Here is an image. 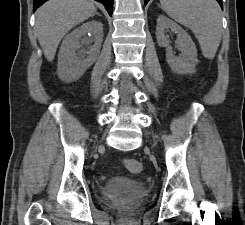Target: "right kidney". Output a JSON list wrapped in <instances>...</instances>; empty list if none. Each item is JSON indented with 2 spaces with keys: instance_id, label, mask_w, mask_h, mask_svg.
<instances>
[{
  "instance_id": "right-kidney-1",
  "label": "right kidney",
  "mask_w": 245,
  "mask_h": 225,
  "mask_svg": "<svg viewBox=\"0 0 245 225\" xmlns=\"http://www.w3.org/2000/svg\"><path fill=\"white\" fill-rule=\"evenodd\" d=\"M102 41L103 25L95 20L82 24L68 34L58 54L59 78L66 82L78 80L96 60Z\"/></svg>"
}]
</instances>
